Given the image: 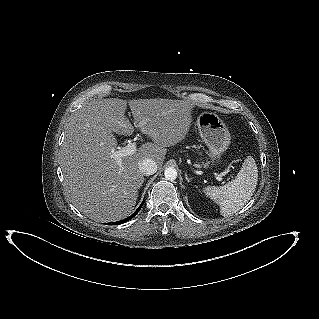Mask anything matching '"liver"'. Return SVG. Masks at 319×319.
I'll use <instances>...</instances> for the list:
<instances>
[{"mask_svg": "<svg viewBox=\"0 0 319 319\" xmlns=\"http://www.w3.org/2000/svg\"><path fill=\"white\" fill-rule=\"evenodd\" d=\"M127 103L134 126L150 137L133 155L114 157L113 133L131 135ZM193 104L186 100L118 98L87 101L71 117L60 151V164L69 201L97 222L118 221L134 209L144 177L139 163L149 158L162 166L166 147L182 141L191 124Z\"/></svg>", "mask_w": 319, "mask_h": 319, "instance_id": "6515ba94", "label": "liver"}]
</instances>
